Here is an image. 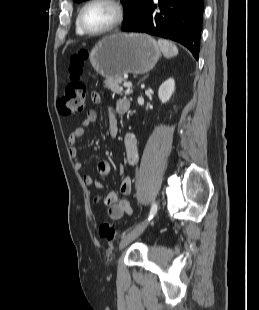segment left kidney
Listing matches in <instances>:
<instances>
[{
	"label": "left kidney",
	"instance_id": "1",
	"mask_svg": "<svg viewBox=\"0 0 259 310\" xmlns=\"http://www.w3.org/2000/svg\"><path fill=\"white\" fill-rule=\"evenodd\" d=\"M175 90V81L173 78L167 79L158 90V97L162 103H166L171 98Z\"/></svg>",
	"mask_w": 259,
	"mask_h": 310
}]
</instances>
